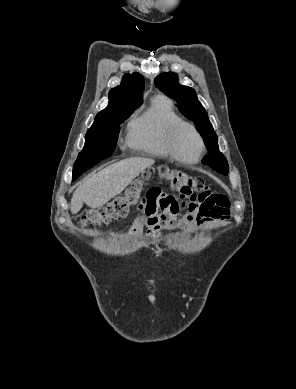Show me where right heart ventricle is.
I'll return each mask as SVG.
<instances>
[{"label": "right heart ventricle", "instance_id": "e07e8e85", "mask_svg": "<svg viewBox=\"0 0 296 389\" xmlns=\"http://www.w3.org/2000/svg\"><path fill=\"white\" fill-rule=\"evenodd\" d=\"M181 120L172 101L163 95L154 97L150 106L127 125L128 146L145 155L170 158L165 138L169 126Z\"/></svg>", "mask_w": 296, "mask_h": 389}]
</instances>
